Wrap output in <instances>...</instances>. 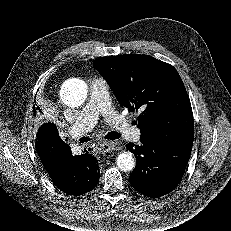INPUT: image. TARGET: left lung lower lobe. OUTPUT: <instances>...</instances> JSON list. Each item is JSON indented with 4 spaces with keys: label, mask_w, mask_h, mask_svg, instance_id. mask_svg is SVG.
<instances>
[{
    "label": "left lung lower lobe",
    "mask_w": 231,
    "mask_h": 231,
    "mask_svg": "<svg viewBox=\"0 0 231 231\" xmlns=\"http://www.w3.org/2000/svg\"><path fill=\"white\" fill-rule=\"evenodd\" d=\"M140 140V146L126 144L127 149L134 153L137 159L129 180L141 194L159 198L179 184L191 150H179L156 139Z\"/></svg>",
    "instance_id": "0a47b994"
}]
</instances>
